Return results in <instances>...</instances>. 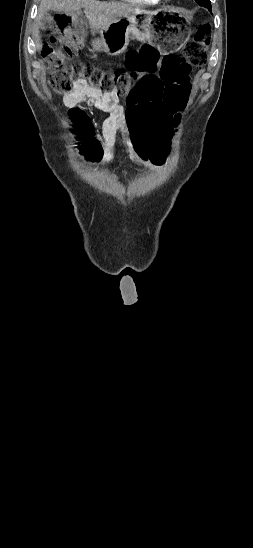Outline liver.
Masks as SVG:
<instances>
[{
	"mask_svg": "<svg viewBox=\"0 0 253 548\" xmlns=\"http://www.w3.org/2000/svg\"><path fill=\"white\" fill-rule=\"evenodd\" d=\"M84 9L85 17L88 20L89 26L93 31L106 30L115 23L118 19L129 17L141 9L137 6L120 3L106 2L99 0H41L38 7L37 22L44 17L47 11L64 12L73 16L82 15ZM34 39L39 47L40 41L39 28L36 26Z\"/></svg>",
	"mask_w": 253,
	"mask_h": 548,
	"instance_id": "obj_1",
	"label": "liver"
}]
</instances>
